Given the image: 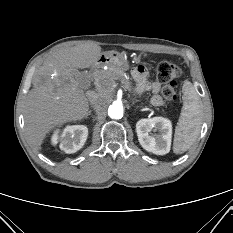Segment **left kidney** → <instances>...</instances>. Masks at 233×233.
I'll list each match as a JSON object with an SVG mask.
<instances>
[{
	"instance_id": "left-kidney-1",
	"label": "left kidney",
	"mask_w": 233,
	"mask_h": 233,
	"mask_svg": "<svg viewBox=\"0 0 233 233\" xmlns=\"http://www.w3.org/2000/svg\"><path fill=\"white\" fill-rule=\"evenodd\" d=\"M157 130L158 135L151 136V130ZM136 132L139 143L148 152L156 155L169 153L172 138V123L163 117L140 119L136 123Z\"/></svg>"
}]
</instances>
